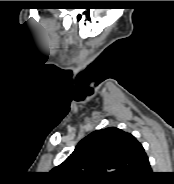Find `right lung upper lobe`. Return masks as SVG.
Masks as SVG:
<instances>
[{
  "label": "right lung upper lobe",
  "mask_w": 174,
  "mask_h": 184,
  "mask_svg": "<svg viewBox=\"0 0 174 184\" xmlns=\"http://www.w3.org/2000/svg\"><path fill=\"white\" fill-rule=\"evenodd\" d=\"M148 160L142 145L116 127L96 130L52 172L64 184H108L130 179Z\"/></svg>",
  "instance_id": "right-lung-upper-lobe-1"
}]
</instances>
